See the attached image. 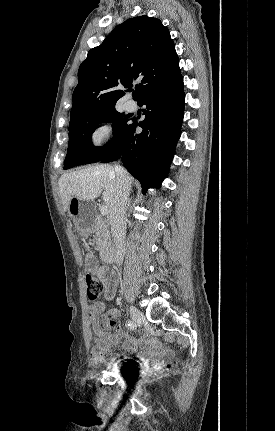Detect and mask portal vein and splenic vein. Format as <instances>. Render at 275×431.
Returning a JSON list of instances; mask_svg holds the SVG:
<instances>
[{
  "instance_id": "obj_1",
  "label": "portal vein and splenic vein",
  "mask_w": 275,
  "mask_h": 431,
  "mask_svg": "<svg viewBox=\"0 0 275 431\" xmlns=\"http://www.w3.org/2000/svg\"><path fill=\"white\" fill-rule=\"evenodd\" d=\"M100 212H101V214H102V215H107V214H108V212H109V210H108V206L103 205V206L100 208Z\"/></svg>"
}]
</instances>
